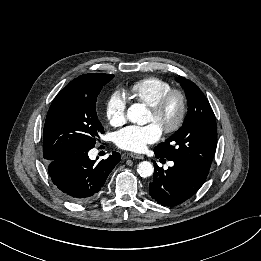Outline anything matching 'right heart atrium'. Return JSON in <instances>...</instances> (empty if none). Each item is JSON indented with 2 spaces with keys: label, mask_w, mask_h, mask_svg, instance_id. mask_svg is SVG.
I'll use <instances>...</instances> for the list:
<instances>
[{
  "label": "right heart atrium",
  "mask_w": 261,
  "mask_h": 261,
  "mask_svg": "<svg viewBox=\"0 0 261 261\" xmlns=\"http://www.w3.org/2000/svg\"><path fill=\"white\" fill-rule=\"evenodd\" d=\"M127 100L125 95L116 91L112 93L105 105V114L108 122L115 127L121 126L126 121Z\"/></svg>",
  "instance_id": "obj_1"
}]
</instances>
